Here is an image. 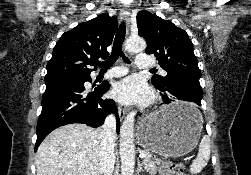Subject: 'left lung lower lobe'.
Masks as SVG:
<instances>
[{
  "label": "left lung lower lobe",
  "instance_id": "left-lung-lower-lobe-1",
  "mask_svg": "<svg viewBox=\"0 0 251 175\" xmlns=\"http://www.w3.org/2000/svg\"><path fill=\"white\" fill-rule=\"evenodd\" d=\"M163 94L165 103H170L172 99H179L190 102L189 104L178 107L167 114V120H195L202 113L200 108L203 91L199 83L191 80L178 78L170 81L164 88H158Z\"/></svg>",
  "mask_w": 251,
  "mask_h": 175
}]
</instances>
